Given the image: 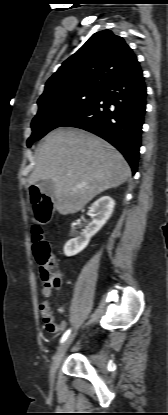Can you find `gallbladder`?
Instances as JSON below:
<instances>
[{
  "instance_id": "bac80fb5",
  "label": "gallbladder",
  "mask_w": 168,
  "mask_h": 415,
  "mask_svg": "<svg viewBox=\"0 0 168 415\" xmlns=\"http://www.w3.org/2000/svg\"><path fill=\"white\" fill-rule=\"evenodd\" d=\"M37 186L46 195H52L55 190V182L52 179L40 180Z\"/></svg>"
}]
</instances>
